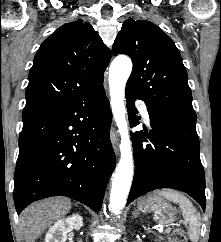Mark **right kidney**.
<instances>
[{
  "mask_svg": "<svg viewBox=\"0 0 221 242\" xmlns=\"http://www.w3.org/2000/svg\"><path fill=\"white\" fill-rule=\"evenodd\" d=\"M82 226L83 218L79 214L61 218L50 227L45 235V242H65L68 232L79 230Z\"/></svg>",
  "mask_w": 221,
  "mask_h": 242,
  "instance_id": "obj_1",
  "label": "right kidney"
}]
</instances>
